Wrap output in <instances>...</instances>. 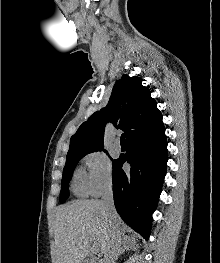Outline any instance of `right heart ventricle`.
<instances>
[{"label": "right heart ventricle", "mask_w": 220, "mask_h": 263, "mask_svg": "<svg viewBox=\"0 0 220 263\" xmlns=\"http://www.w3.org/2000/svg\"><path fill=\"white\" fill-rule=\"evenodd\" d=\"M72 190L78 197H85L89 193L87 178L82 170L76 171L72 179Z\"/></svg>", "instance_id": "right-heart-ventricle-1"}]
</instances>
